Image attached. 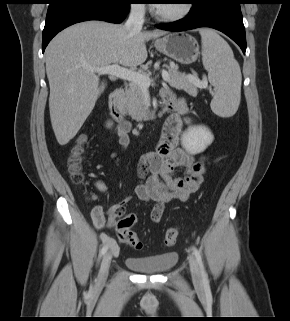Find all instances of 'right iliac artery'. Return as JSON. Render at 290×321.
Returning <instances> with one entry per match:
<instances>
[{"mask_svg":"<svg viewBox=\"0 0 290 321\" xmlns=\"http://www.w3.org/2000/svg\"><path fill=\"white\" fill-rule=\"evenodd\" d=\"M108 247H109L108 244H104V246L102 247L101 252H100L101 256H103L107 252Z\"/></svg>","mask_w":290,"mask_h":321,"instance_id":"82829eb1","label":"right iliac artery"}]
</instances>
